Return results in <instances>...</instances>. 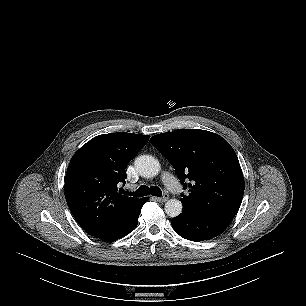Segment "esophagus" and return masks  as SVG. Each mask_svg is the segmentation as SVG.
Returning a JSON list of instances; mask_svg holds the SVG:
<instances>
[{"label":"esophagus","instance_id":"esophagus-1","mask_svg":"<svg viewBox=\"0 0 306 306\" xmlns=\"http://www.w3.org/2000/svg\"><path fill=\"white\" fill-rule=\"evenodd\" d=\"M169 199V195L168 194H164L162 197H155V200L158 202H166Z\"/></svg>","mask_w":306,"mask_h":306}]
</instances>
